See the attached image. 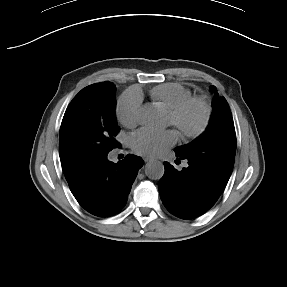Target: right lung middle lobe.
<instances>
[{
    "instance_id": "obj_1",
    "label": "right lung middle lobe",
    "mask_w": 287,
    "mask_h": 287,
    "mask_svg": "<svg viewBox=\"0 0 287 287\" xmlns=\"http://www.w3.org/2000/svg\"><path fill=\"white\" fill-rule=\"evenodd\" d=\"M116 87L110 82L82 89L64 114L59 133V154L67 178L74 170L120 147L116 135Z\"/></svg>"
}]
</instances>
